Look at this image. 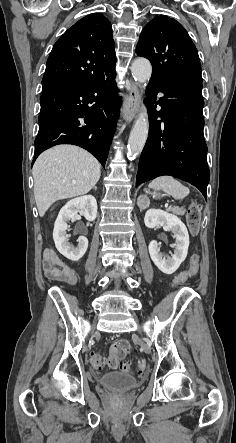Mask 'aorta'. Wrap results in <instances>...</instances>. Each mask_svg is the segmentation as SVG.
<instances>
[{"mask_svg": "<svg viewBox=\"0 0 236 443\" xmlns=\"http://www.w3.org/2000/svg\"><path fill=\"white\" fill-rule=\"evenodd\" d=\"M131 72L135 81L145 83L150 79L152 74L151 63L145 58H137L131 65ZM148 129V113L146 107L143 106L128 139V155L131 158L138 156L142 152L147 140Z\"/></svg>", "mask_w": 236, "mask_h": 443, "instance_id": "obj_1", "label": "aorta"}]
</instances>
